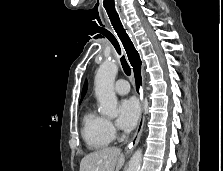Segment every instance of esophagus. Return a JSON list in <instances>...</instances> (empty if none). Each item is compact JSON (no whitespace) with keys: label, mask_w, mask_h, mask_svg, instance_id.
<instances>
[{"label":"esophagus","mask_w":223,"mask_h":171,"mask_svg":"<svg viewBox=\"0 0 223 171\" xmlns=\"http://www.w3.org/2000/svg\"><path fill=\"white\" fill-rule=\"evenodd\" d=\"M107 11L108 13L110 12L109 9H107ZM109 18L110 21L112 22L111 28L114 31H116V34L119 36V39H121L124 48L126 50V56H128V60L132 68L135 92L138 95L141 102V110H140L138 126L132 140L129 142L127 146L128 149H131L138 144L143 131V126L145 121L144 108H143V102H144L143 61L140 52L137 51V49L134 46L135 42L132 41V39L130 38L129 31L126 30V27L124 26L122 13H109Z\"/></svg>","instance_id":"1"}]
</instances>
